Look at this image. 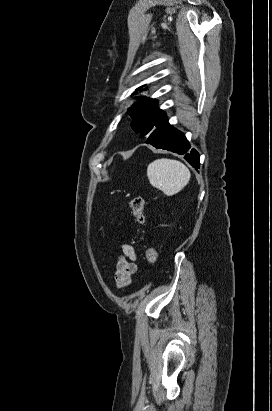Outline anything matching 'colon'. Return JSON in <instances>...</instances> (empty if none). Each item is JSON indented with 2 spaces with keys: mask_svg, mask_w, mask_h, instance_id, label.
Returning <instances> with one entry per match:
<instances>
[{
  "mask_svg": "<svg viewBox=\"0 0 272 411\" xmlns=\"http://www.w3.org/2000/svg\"><path fill=\"white\" fill-rule=\"evenodd\" d=\"M129 207L139 223H144L145 221V205L144 199L140 196H136L130 199ZM145 257L147 261L151 264H156L158 261V255L155 250L147 249L145 252Z\"/></svg>",
  "mask_w": 272,
  "mask_h": 411,
  "instance_id": "obj_1",
  "label": "colon"
}]
</instances>
